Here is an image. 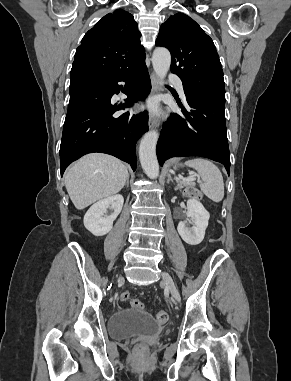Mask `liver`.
I'll list each match as a JSON object with an SVG mask.
<instances>
[{"mask_svg":"<svg viewBox=\"0 0 291 381\" xmlns=\"http://www.w3.org/2000/svg\"><path fill=\"white\" fill-rule=\"evenodd\" d=\"M127 167L119 159L92 153L79 159L66 173L65 186L78 210L117 194L128 178Z\"/></svg>","mask_w":291,"mask_h":381,"instance_id":"obj_1","label":"liver"}]
</instances>
